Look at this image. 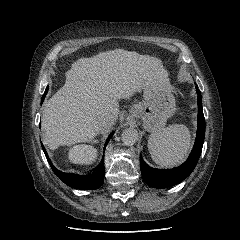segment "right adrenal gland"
Masks as SVG:
<instances>
[{"mask_svg": "<svg viewBox=\"0 0 240 240\" xmlns=\"http://www.w3.org/2000/svg\"><path fill=\"white\" fill-rule=\"evenodd\" d=\"M96 142H97V140H93V141H92V143H96Z\"/></svg>", "mask_w": 240, "mask_h": 240, "instance_id": "obj_1", "label": "right adrenal gland"}]
</instances>
